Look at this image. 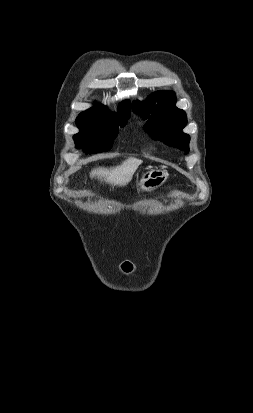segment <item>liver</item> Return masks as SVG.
<instances>
[{"mask_svg": "<svg viewBox=\"0 0 253 413\" xmlns=\"http://www.w3.org/2000/svg\"><path fill=\"white\" fill-rule=\"evenodd\" d=\"M143 161L137 158H128L121 165L113 168L99 167L93 169L90 173L91 177H98L101 181H105L112 185L125 186L132 178L134 172Z\"/></svg>", "mask_w": 253, "mask_h": 413, "instance_id": "obj_1", "label": "liver"}]
</instances>
